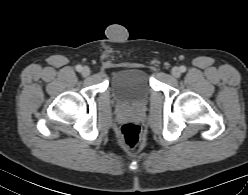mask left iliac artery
I'll return each mask as SVG.
<instances>
[{
	"label": "left iliac artery",
	"instance_id": "44dca946",
	"mask_svg": "<svg viewBox=\"0 0 248 195\" xmlns=\"http://www.w3.org/2000/svg\"><path fill=\"white\" fill-rule=\"evenodd\" d=\"M180 71H181V72H185V71H186V67H185V66H181V67H180Z\"/></svg>",
	"mask_w": 248,
	"mask_h": 195
}]
</instances>
